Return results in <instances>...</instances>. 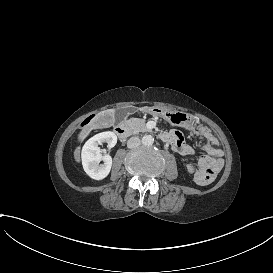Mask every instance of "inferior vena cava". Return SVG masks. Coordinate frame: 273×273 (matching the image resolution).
<instances>
[{"instance_id":"602c4592","label":"inferior vena cava","mask_w":273,"mask_h":273,"mask_svg":"<svg viewBox=\"0 0 273 273\" xmlns=\"http://www.w3.org/2000/svg\"><path fill=\"white\" fill-rule=\"evenodd\" d=\"M141 144L139 137L133 136L127 141L128 148H136Z\"/></svg>"}]
</instances>
